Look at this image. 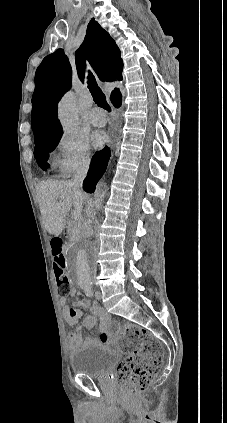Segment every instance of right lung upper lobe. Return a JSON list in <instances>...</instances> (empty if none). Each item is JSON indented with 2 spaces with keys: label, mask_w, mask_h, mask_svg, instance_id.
Listing matches in <instances>:
<instances>
[{
  "label": "right lung upper lobe",
  "mask_w": 227,
  "mask_h": 423,
  "mask_svg": "<svg viewBox=\"0 0 227 423\" xmlns=\"http://www.w3.org/2000/svg\"><path fill=\"white\" fill-rule=\"evenodd\" d=\"M85 60L102 81L122 80L123 63L120 50L109 34L92 19L87 27L85 40L76 51V67L83 82ZM71 86V66L62 49L46 56L35 74V90L32 96L31 126L34 139L62 134L57 119V105ZM113 104L122 96L115 88L110 97Z\"/></svg>",
  "instance_id": "cb5924a9"
}]
</instances>
